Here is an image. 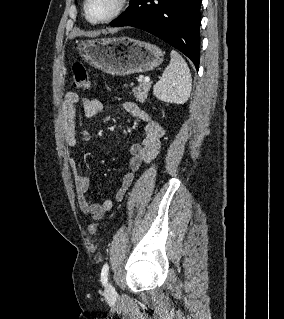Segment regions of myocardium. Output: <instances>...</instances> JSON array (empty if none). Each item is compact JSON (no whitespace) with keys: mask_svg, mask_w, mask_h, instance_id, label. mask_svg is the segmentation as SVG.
I'll use <instances>...</instances> for the list:
<instances>
[{"mask_svg":"<svg viewBox=\"0 0 284 319\" xmlns=\"http://www.w3.org/2000/svg\"><path fill=\"white\" fill-rule=\"evenodd\" d=\"M88 3H89V0H84L83 13H84L86 20L91 24L101 25V24H107V23L115 20L116 18H118L127 8L129 0H117L115 8L112 11V13L109 16H107L106 18L101 19V20H94L89 16Z\"/></svg>","mask_w":284,"mask_h":319,"instance_id":"f54148a6","label":"myocardium"}]
</instances>
